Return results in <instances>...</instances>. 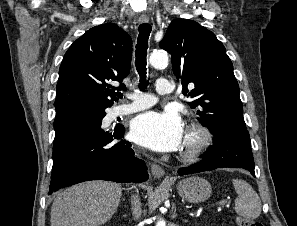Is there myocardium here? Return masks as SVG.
Listing matches in <instances>:
<instances>
[{"label":"myocardium","instance_id":"obj_1","mask_svg":"<svg viewBox=\"0 0 297 226\" xmlns=\"http://www.w3.org/2000/svg\"><path fill=\"white\" fill-rule=\"evenodd\" d=\"M186 132L191 138L184 144L179 158L183 162L193 163L198 161L212 145L213 135L208 127L197 121L191 122L186 127Z\"/></svg>","mask_w":297,"mask_h":226}]
</instances>
